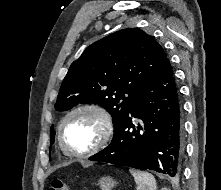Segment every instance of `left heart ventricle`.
Wrapping results in <instances>:
<instances>
[{
	"label": "left heart ventricle",
	"instance_id": "left-heart-ventricle-1",
	"mask_svg": "<svg viewBox=\"0 0 221 190\" xmlns=\"http://www.w3.org/2000/svg\"><path fill=\"white\" fill-rule=\"evenodd\" d=\"M100 130V120L94 113L79 112L67 120L63 139L69 148L84 151L96 143Z\"/></svg>",
	"mask_w": 221,
	"mask_h": 190
}]
</instances>
